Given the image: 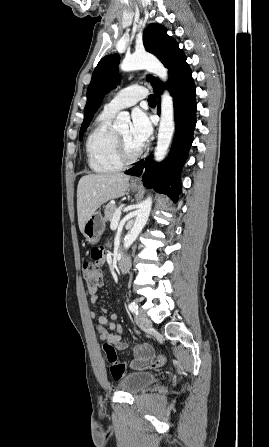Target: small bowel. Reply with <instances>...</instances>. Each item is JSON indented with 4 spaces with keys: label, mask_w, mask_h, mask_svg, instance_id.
I'll list each match as a JSON object with an SVG mask.
<instances>
[{
    "label": "small bowel",
    "mask_w": 269,
    "mask_h": 447,
    "mask_svg": "<svg viewBox=\"0 0 269 447\" xmlns=\"http://www.w3.org/2000/svg\"><path fill=\"white\" fill-rule=\"evenodd\" d=\"M98 300L99 299L97 296L91 297L92 304H96L98 302ZM102 310L105 312L106 308H102ZM90 316L92 318L97 317V323H98V327H99L98 331H99V336H100L101 340L111 342V343L115 344L121 350H125L128 348L126 343L122 340V338L120 336V332L122 330L121 325L118 323H115V321L117 320L116 314H111L109 316V318H107L106 316H103V315L97 316V313L95 311H91ZM148 346L152 347L149 344H148ZM133 357H134V359L131 363L132 367H133L134 363H136L137 361H149L150 357H157V356L155 354V356H133Z\"/></svg>",
    "instance_id": "small-bowel-1"
}]
</instances>
